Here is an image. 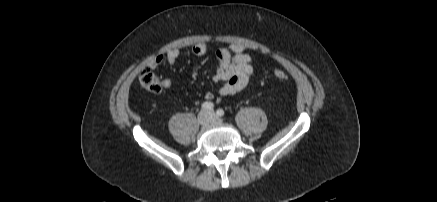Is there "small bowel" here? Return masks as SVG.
Returning a JSON list of instances; mask_svg holds the SVG:
<instances>
[{"label": "small bowel", "instance_id": "c3829d8e", "mask_svg": "<svg viewBox=\"0 0 437 202\" xmlns=\"http://www.w3.org/2000/svg\"><path fill=\"white\" fill-rule=\"evenodd\" d=\"M207 46L205 43H198L192 47V53L195 56H202L206 53ZM247 47L240 43H231L228 46L220 47L216 50L217 60L216 73L213 76L215 83H222L218 89L217 101L223 97L234 95L242 91L249 83L254 74L252 57L246 53ZM181 58L180 50L172 48L165 55L154 58L150 65L155 68L164 62L174 65ZM172 85L170 79L163 81V86L169 88ZM205 98L212 100L214 94L211 91L206 92Z\"/></svg>", "mask_w": 437, "mask_h": 202}]
</instances>
